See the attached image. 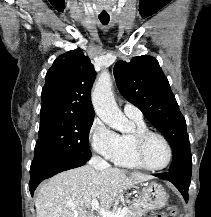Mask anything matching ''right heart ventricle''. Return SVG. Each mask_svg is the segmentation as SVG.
<instances>
[{
	"label": "right heart ventricle",
	"instance_id": "e07e8e85",
	"mask_svg": "<svg viewBox=\"0 0 211 217\" xmlns=\"http://www.w3.org/2000/svg\"><path fill=\"white\" fill-rule=\"evenodd\" d=\"M135 124V132L119 136L118 148L112 161L115 165L125 168L141 169L134 152V135L137 132L149 130L143 119L129 117Z\"/></svg>",
	"mask_w": 211,
	"mask_h": 217
}]
</instances>
